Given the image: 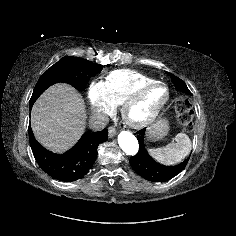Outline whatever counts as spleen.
I'll return each mask as SVG.
<instances>
[{
  "label": "spleen",
  "mask_w": 236,
  "mask_h": 236,
  "mask_svg": "<svg viewBox=\"0 0 236 236\" xmlns=\"http://www.w3.org/2000/svg\"><path fill=\"white\" fill-rule=\"evenodd\" d=\"M191 140L185 133H178L175 142L165 147L148 149V153L161 164L174 165L181 162L191 151Z\"/></svg>",
  "instance_id": "spleen-1"
}]
</instances>
